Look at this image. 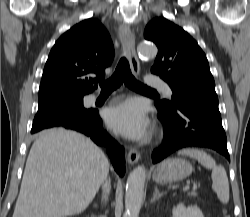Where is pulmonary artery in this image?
Returning a JSON list of instances; mask_svg holds the SVG:
<instances>
[{"label": "pulmonary artery", "instance_id": "pulmonary-artery-1", "mask_svg": "<svg viewBox=\"0 0 250 217\" xmlns=\"http://www.w3.org/2000/svg\"><path fill=\"white\" fill-rule=\"evenodd\" d=\"M146 83L150 85L151 87L161 90L166 96L168 97L172 96V90L166 82L159 80V79L147 78ZM95 99H96V96L90 97V101H94Z\"/></svg>", "mask_w": 250, "mask_h": 217}]
</instances>
